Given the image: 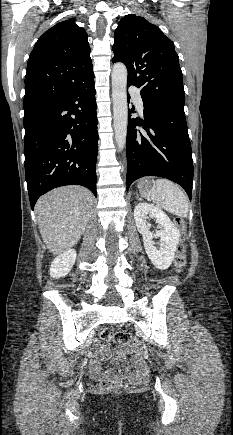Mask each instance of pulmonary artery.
Here are the masks:
<instances>
[{"instance_id":"obj_1","label":"pulmonary artery","mask_w":233,"mask_h":435,"mask_svg":"<svg viewBox=\"0 0 233 435\" xmlns=\"http://www.w3.org/2000/svg\"><path fill=\"white\" fill-rule=\"evenodd\" d=\"M131 94H132V97H133L138 109L142 111L143 110V102L141 99L140 91L137 88H132Z\"/></svg>"}]
</instances>
